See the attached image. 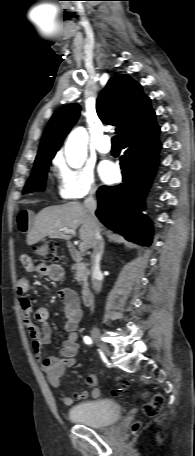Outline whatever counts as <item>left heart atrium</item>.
Masks as SVG:
<instances>
[{
	"label": "left heart atrium",
	"mask_w": 195,
	"mask_h": 456,
	"mask_svg": "<svg viewBox=\"0 0 195 456\" xmlns=\"http://www.w3.org/2000/svg\"><path fill=\"white\" fill-rule=\"evenodd\" d=\"M98 171L100 178L106 183L113 182L118 175L117 167L110 161L101 162Z\"/></svg>",
	"instance_id": "1"
}]
</instances>
